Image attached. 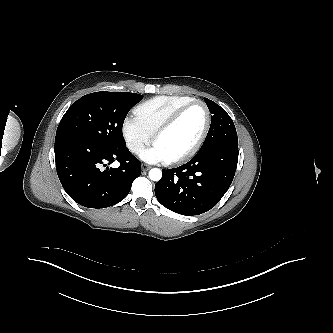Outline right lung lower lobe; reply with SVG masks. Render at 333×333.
Segmentation results:
<instances>
[{
	"label": "right lung lower lobe",
	"instance_id": "98d812e1",
	"mask_svg": "<svg viewBox=\"0 0 333 333\" xmlns=\"http://www.w3.org/2000/svg\"><path fill=\"white\" fill-rule=\"evenodd\" d=\"M115 160L120 166L109 168ZM55 161L64 190L75 202L89 208H105L120 202L141 174V162L126 145L111 148L68 137L57 138Z\"/></svg>",
	"mask_w": 333,
	"mask_h": 333
}]
</instances>
